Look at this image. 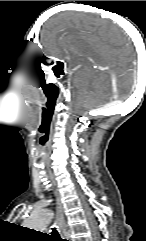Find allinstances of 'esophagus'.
Instances as JSON below:
<instances>
[{
  "label": "esophagus",
  "instance_id": "1",
  "mask_svg": "<svg viewBox=\"0 0 146 241\" xmlns=\"http://www.w3.org/2000/svg\"><path fill=\"white\" fill-rule=\"evenodd\" d=\"M53 183L54 180L51 177ZM57 224L60 232H64L66 224H65V218H64V209H63V204L61 201V198L59 195H57Z\"/></svg>",
  "mask_w": 146,
  "mask_h": 241
}]
</instances>
